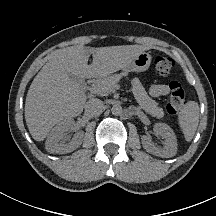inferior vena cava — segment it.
Segmentation results:
<instances>
[{
  "instance_id": "obj_1",
  "label": "inferior vena cava",
  "mask_w": 216,
  "mask_h": 216,
  "mask_svg": "<svg viewBox=\"0 0 216 216\" xmlns=\"http://www.w3.org/2000/svg\"><path fill=\"white\" fill-rule=\"evenodd\" d=\"M103 108V101L97 98L87 101L85 104V110L90 114H97Z\"/></svg>"
}]
</instances>
